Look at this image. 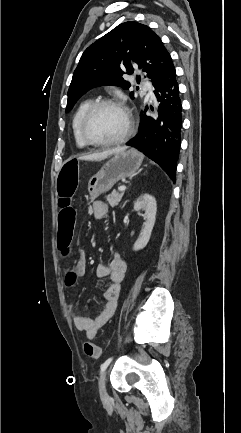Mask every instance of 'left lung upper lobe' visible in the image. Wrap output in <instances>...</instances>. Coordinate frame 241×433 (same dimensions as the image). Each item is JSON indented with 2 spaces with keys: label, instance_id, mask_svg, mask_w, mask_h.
<instances>
[{
  "label": "left lung upper lobe",
  "instance_id": "1",
  "mask_svg": "<svg viewBox=\"0 0 241 433\" xmlns=\"http://www.w3.org/2000/svg\"><path fill=\"white\" fill-rule=\"evenodd\" d=\"M135 64L146 72L155 86L172 64V59L161 39L148 26L128 21L84 51L68 90L66 111L93 87L118 85L128 89L130 84L122 75L133 74ZM130 95L133 97L134 92Z\"/></svg>",
  "mask_w": 241,
  "mask_h": 433
}]
</instances>
